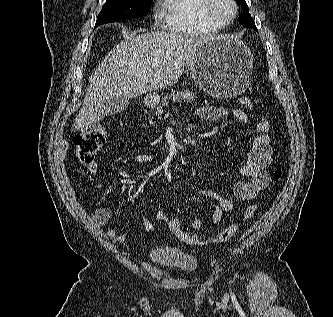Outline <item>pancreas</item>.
Wrapping results in <instances>:
<instances>
[{"label":"pancreas","instance_id":"pancreas-1","mask_svg":"<svg viewBox=\"0 0 333 317\" xmlns=\"http://www.w3.org/2000/svg\"><path fill=\"white\" fill-rule=\"evenodd\" d=\"M167 100H171L172 103H177V102L181 103L182 101L188 103L190 101L195 100V95L193 92H190L188 90H186V91L172 90L170 95L165 96L161 101L162 104L157 107L156 114L158 116H160L163 113V111H164L163 108L168 105Z\"/></svg>","mask_w":333,"mask_h":317}]
</instances>
